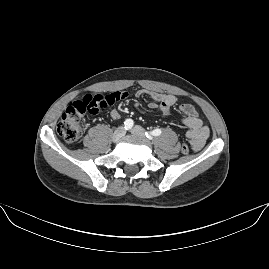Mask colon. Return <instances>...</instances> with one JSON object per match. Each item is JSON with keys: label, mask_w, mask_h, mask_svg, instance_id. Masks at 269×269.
Returning <instances> with one entry per match:
<instances>
[{"label": "colon", "mask_w": 269, "mask_h": 269, "mask_svg": "<svg viewBox=\"0 0 269 269\" xmlns=\"http://www.w3.org/2000/svg\"><path fill=\"white\" fill-rule=\"evenodd\" d=\"M120 96H123V92H120ZM114 98H116V95L112 97L110 93H107L105 97L94 93L74 101L65 109L56 125L59 136L68 143L79 141L87 125L86 117L83 118L85 113L95 115L100 109L112 104ZM182 150L186 154L189 148L187 145H184Z\"/></svg>", "instance_id": "1"}]
</instances>
